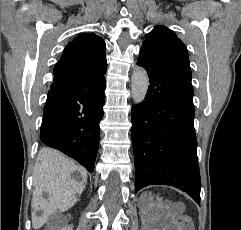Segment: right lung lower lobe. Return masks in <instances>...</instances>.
Returning <instances> with one entry per match:
<instances>
[{
  "label": "right lung lower lobe",
  "mask_w": 241,
  "mask_h": 230,
  "mask_svg": "<svg viewBox=\"0 0 241 230\" xmlns=\"http://www.w3.org/2000/svg\"><path fill=\"white\" fill-rule=\"evenodd\" d=\"M104 74L55 65L40 129L43 144L74 158L89 172L94 170L104 115Z\"/></svg>",
  "instance_id": "right-lung-lower-lobe-1"
}]
</instances>
